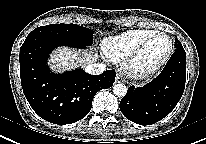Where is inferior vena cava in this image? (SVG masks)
Instances as JSON below:
<instances>
[{
  "instance_id": "602c4592",
  "label": "inferior vena cava",
  "mask_w": 206,
  "mask_h": 144,
  "mask_svg": "<svg viewBox=\"0 0 206 144\" xmlns=\"http://www.w3.org/2000/svg\"><path fill=\"white\" fill-rule=\"evenodd\" d=\"M85 71L92 75H100L105 71V65L103 63H94L86 66Z\"/></svg>"
}]
</instances>
